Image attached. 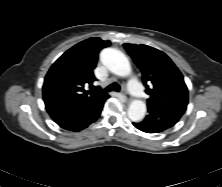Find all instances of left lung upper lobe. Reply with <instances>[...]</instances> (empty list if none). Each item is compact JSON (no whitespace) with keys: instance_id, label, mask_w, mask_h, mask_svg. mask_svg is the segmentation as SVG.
<instances>
[{"instance_id":"obj_1","label":"left lung upper lobe","mask_w":222,"mask_h":187,"mask_svg":"<svg viewBox=\"0 0 222 187\" xmlns=\"http://www.w3.org/2000/svg\"><path fill=\"white\" fill-rule=\"evenodd\" d=\"M123 46L142 72V80L149 95L147 105L188 104V88L184 77L165 53L147 45Z\"/></svg>"}]
</instances>
